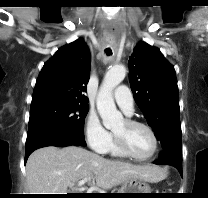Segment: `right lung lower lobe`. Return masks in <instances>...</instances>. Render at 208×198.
Returning a JSON list of instances; mask_svg holds the SVG:
<instances>
[{"instance_id":"98d812e1","label":"right lung lower lobe","mask_w":208,"mask_h":198,"mask_svg":"<svg viewBox=\"0 0 208 198\" xmlns=\"http://www.w3.org/2000/svg\"><path fill=\"white\" fill-rule=\"evenodd\" d=\"M86 146L84 138H81L64 129H47L27 136L25 162L29 155L36 149L46 146Z\"/></svg>"}]
</instances>
